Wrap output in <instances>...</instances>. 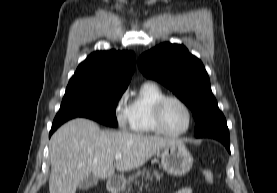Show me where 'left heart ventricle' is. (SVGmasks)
<instances>
[{"label": "left heart ventricle", "instance_id": "left-heart-ventricle-1", "mask_svg": "<svg viewBox=\"0 0 277 193\" xmlns=\"http://www.w3.org/2000/svg\"><path fill=\"white\" fill-rule=\"evenodd\" d=\"M163 122L169 131H180L187 125V112L178 102L174 100L167 101L163 108Z\"/></svg>", "mask_w": 277, "mask_h": 193}]
</instances>
